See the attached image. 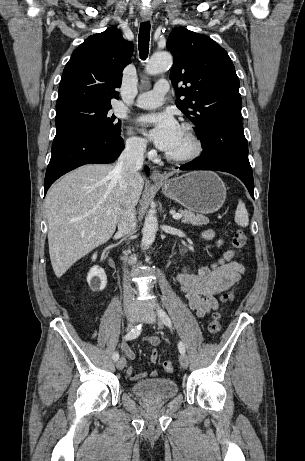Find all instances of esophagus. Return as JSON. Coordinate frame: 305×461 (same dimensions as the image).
Listing matches in <instances>:
<instances>
[{
    "label": "esophagus",
    "mask_w": 305,
    "mask_h": 461,
    "mask_svg": "<svg viewBox=\"0 0 305 461\" xmlns=\"http://www.w3.org/2000/svg\"><path fill=\"white\" fill-rule=\"evenodd\" d=\"M142 19L144 21H148L150 20V16H142ZM151 179L153 181H164L165 180V177L163 174H161V172L157 169H153L152 173H151Z\"/></svg>",
    "instance_id": "obj_1"
}]
</instances>
